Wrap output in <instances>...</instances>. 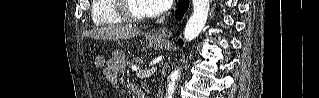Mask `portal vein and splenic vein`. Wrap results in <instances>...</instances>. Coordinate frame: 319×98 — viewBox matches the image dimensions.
Wrapping results in <instances>:
<instances>
[{"mask_svg": "<svg viewBox=\"0 0 319 98\" xmlns=\"http://www.w3.org/2000/svg\"><path fill=\"white\" fill-rule=\"evenodd\" d=\"M155 71H156V68L152 67L151 69L137 70L136 74L140 78H146L151 76Z\"/></svg>", "mask_w": 319, "mask_h": 98, "instance_id": "1", "label": "portal vein and splenic vein"}]
</instances>
